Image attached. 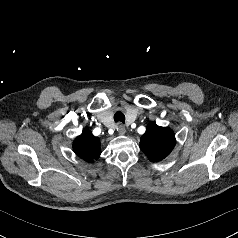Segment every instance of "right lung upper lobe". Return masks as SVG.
Wrapping results in <instances>:
<instances>
[{
	"mask_svg": "<svg viewBox=\"0 0 238 238\" xmlns=\"http://www.w3.org/2000/svg\"><path fill=\"white\" fill-rule=\"evenodd\" d=\"M73 150L81 159L87 162H93L101 154L100 140L93 136L90 130L85 128L82 134L74 140Z\"/></svg>",
	"mask_w": 238,
	"mask_h": 238,
	"instance_id": "obj_1",
	"label": "right lung upper lobe"
}]
</instances>
